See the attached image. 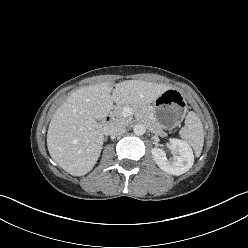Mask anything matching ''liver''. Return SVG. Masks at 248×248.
Returning a JSON list of instances; mask_svg holds the SVG:
<instances>
[{
    "label": "liver",
    "instance_id": "6515ba94",
    "mask_svg": "<svg viewBox=\"0 0 248 248\" xmlns=\"http://www.w3.org/2000/svg\"><path fill=\"white\" fill-rule=\"evenodd\" d=\"M168 89L167 85L142 80L103 82L77 89L51 119L47 132L50 156L73 176L87 174L96 164L104 142L103 126L96 119L107 116L113 102L145 105Z\"/></svg>",
    "mask_w": 248,
    "mask_h": 248
}]
</instances>
